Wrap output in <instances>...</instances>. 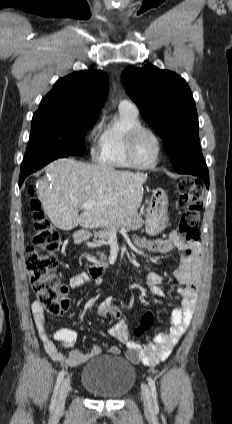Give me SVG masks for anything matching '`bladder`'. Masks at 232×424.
Here are the masks:
<instances>
[{
	"mask_svg": "<svg viewBox=\"0 0 232 424\" xmlns=\"http://www.w3.org/2000/svg\"><path fill=\"white\" fill-rule=\"evenodd\" d=\"M134 382V367L119 356H97L84 365L81 375V386L92 395L105 399L123 397Z\"/></svg>",
	"mask_w": 232,
	"mask_h": 424,
	"instance_id": "1",
	"label": "bladder"
}]
</instances>
